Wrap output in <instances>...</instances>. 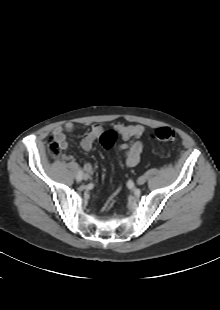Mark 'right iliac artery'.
<instances>
[{
	"instance_id": "obj_1",
	"label": "right iliac artery",
	"mask_w": 220,
	"mask_h": 310,
	"mask_svg": "<svg viewBox=\"0 0 220 310\" xmlns=\"http://www.w3.org/2000/svg\"><path fill=\"white\" fill-rule=\"evenodd\" d=\"M82 177H83V171L80 169L76 177L77 181L80 182L82 180Z\"/></svg>"
}]
</instances>
